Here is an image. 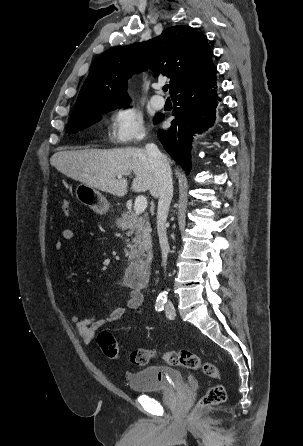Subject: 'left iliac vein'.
<instances>
[{"instance_id": "1", "label": "left iliac vein", "mask_w": 303, "mask_h": 446, "mask_svg": "<svg viewBox=\"0 0 303 446\" xmlns=\"http://www.w3.org/2000/svg\"><path fill=\"white\" fill-rule=\"evenodd\" d=\"M165 314L167 316V318L169 319H174L175 318V308L172 304H168L165 308Z\"/></svg>"}]
</instances>
